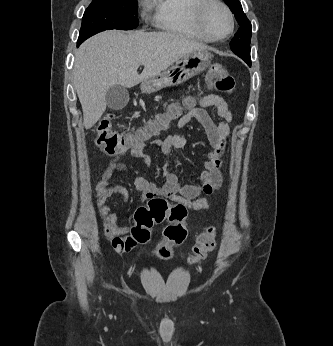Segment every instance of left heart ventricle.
<instances>
[{"instance_id":"obj_1","label":"left heart ventricle","mask_w":333,"mask_h":346,"mask_svg":"<svg viewBox=\"0 0 333 346\" xmlns=\"http://www.w3.org/2000/svg\"><path fill=\"white\" fill-rule=\"evenodd\" d=\"M209 30L217 37L224 36L230 29L226 13L219 6H212L206 16Z\"/></svg>"}]
</instances>
